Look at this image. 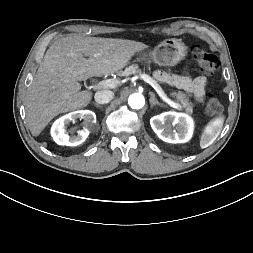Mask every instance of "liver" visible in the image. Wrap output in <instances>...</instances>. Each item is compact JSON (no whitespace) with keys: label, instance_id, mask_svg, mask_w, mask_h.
Segmentation results:
<instances>
[{"label":"liver","instance_id":"obj_1","mask_svg":"<svg viewBox=\"0 0 253 253\" xmlns=\"http://www.w3.org/2000/svg\"><path fill=\"white\" fill-rule=\"evenodd\" d=\"M145 48L141 42L112 38L67 36L56 40L28 88L26 118L32 135L38 136L55 116L90 103L92 92L81 91L78 81L121 71Z\"/></svg>","mask_w":253,"mask_h":253}]
</instances>
